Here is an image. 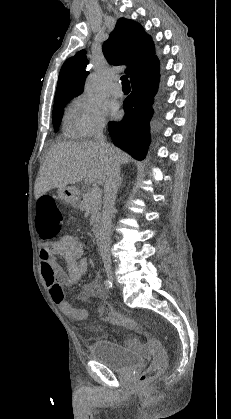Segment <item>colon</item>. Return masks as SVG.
Wrapping results in <instances>:
<instances>
[{
  "label": "colon",
  "mask_w": 231,
  "mask_h": 419,
  "mask_svg": "<svg viewBox=\"0 0 231 419\" xmlns=\"http://www.w3.org/2000/svg\"><path fill=\"white\" fill-rule=\"evenodd\" d=\"M37 230L41 239L48 241L55 238L62 227L63 218L58 208L55 198L44 195L37 203L36 216ZM100 318L113 325L122 326L128 329H136V322L123 314L114 312L109 306L105 305L99 309ZM154 358L150 366L142 372L138 379L140 387H147L155 378L161 375L166 368L167 358L159 339L149 337Z\"/></svg>",
  "instance_id": "5ec220e1"
}]
</instances>
